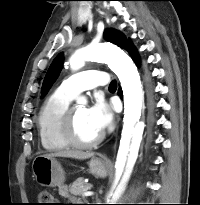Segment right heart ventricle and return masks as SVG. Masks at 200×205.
Instances as JSON below:
<instances>
[{
  "instance_id": "e07e8e85",
  "label": "right heart ventricle",
  "mask_w": 200,
  "mask_h": 205,
  "mask_svg": "<svg viewBox=\"0 0 200 205\" xmlns=\"http://www.w3.org/2000/svg\"><path fill=\"white\" fill-rule=\"evenodd\" d=\"M73 96L58 88L42 105L38 115L39 137L47 151L69 147L62 135V122Z\"/></svg>"
}]
</instances>
